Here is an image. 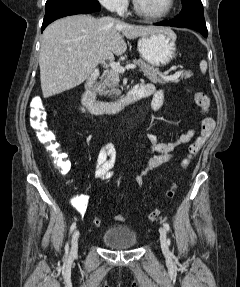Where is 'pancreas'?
<instances>
[{"label":"pancreas","instance_id":"obj_1","mask_svg":"<svg viewBox=\"0 0 240 287\" xmlns=\"http://www.w3.org/2000/svg\"><path fill=\"white\" fill-rule=\"evenodd\" d=\"M134 64L138 65L140 71L146 76L151 82L159 83V84H166L168 82H172V80H166L162 78V73L159 71L158 68H155L143 61L142 59H134L132 61ZM191 71H185L181 74V79H188L192 77ZM119 72L115 70H107L103 73L100 78V82L97 84V91L101 95H106L107 93L118 95L119 90L117 89L119 86ZM174 82H179V79L173 80Z\"/></svg>","mask_w":240,"mask_h":287}]
</instances>
